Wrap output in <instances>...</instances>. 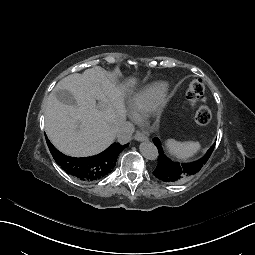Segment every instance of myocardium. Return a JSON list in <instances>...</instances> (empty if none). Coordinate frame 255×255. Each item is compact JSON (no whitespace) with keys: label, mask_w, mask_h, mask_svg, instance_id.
<instances>
[{"label":"myocardium","mask_w":255,"mask_h":255,"mask_svg":"<svg viewBox=\"0 0 255 255\" xmlns=\"http://www.w3.org/2000/svg\"><path fill=\"white\" fill-rule=\"evenodd\" d=\"M167 101H168V97L164 95L161 102L165 104Z\"/></svg>","instance_id":"obj_1"}]
</instances>
